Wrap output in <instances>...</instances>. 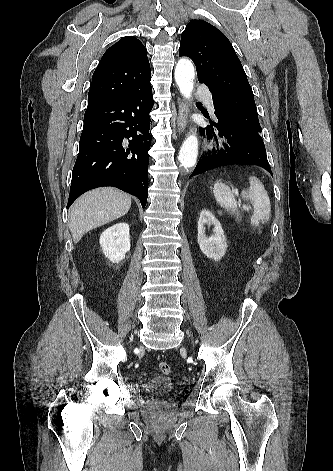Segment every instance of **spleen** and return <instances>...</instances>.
Segmentation results:
<instances>
[{
	"instance_id": "spleen-1",
	"label": "spleen",
	"mask_w": 333,
	"mask_h": 471,
	"mask_svg": "<svg viewBox=\"0 0 333 471\" xmlns=\"http://www.w3.org/2000/svg\"><path fill=\"white\" fill-rule=\"evenodd\" d=\"M250 187L241 192L242 198L250 200L254 206V212L251 217V225L258 226L260 221H268L270 218L271 204L269 196L262 184L256 177L249 178ZM213 194L217 203L229 212L237 211V201L231 189L223 184L216 182L213 188Z\"/></svg>"
}]
</instances>
